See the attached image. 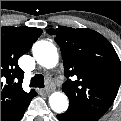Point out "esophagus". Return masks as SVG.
<instances>
[{
	"instance_id": "34e87169",
	"label": "esophagus",
	"mask_w": 121,
	"mask_h": 121,
	"mask_svg": "<svg viewBox=\"0 0 121 121\" xmlns=\"http://www.w3.org/2000/svg\"><path fill=\"white\" fill-rule=\"evenodd\" d=\"M50 92H51L50 88L47 87V88L45 89V93L48 94V93H50Z\"/></svg>"
}]
</instances>
